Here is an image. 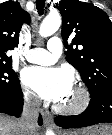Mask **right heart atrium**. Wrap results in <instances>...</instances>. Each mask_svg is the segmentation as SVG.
<instances>
[{"label": "right heart atrium", "mask_w": 112, "mask_h": 135, "mask_svg": "<svg viewBox=\"0 0 112 135\" xmlns=\"http://www.w3.org/2000/svg\"><path fill=\"white\" fill-rule=\"evenodd\" d=\"M23 98L24 101L27 105L29 106H37L38 105V98L34 93H32L30 90L27 88L23 89Z\"/></svg>", "instance_id": "d8ad5b80"}]
</instances>
